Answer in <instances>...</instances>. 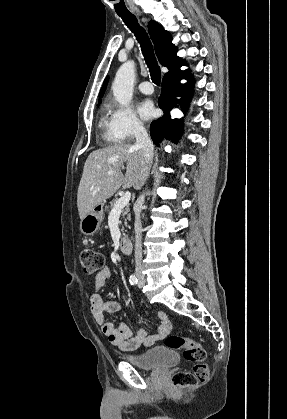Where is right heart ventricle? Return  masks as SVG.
<instances>
[{
  "instance_id": "obj_1",
  "label": "right heart ventricle",
  "mask_w": 287,
  "mask_h": 419,
  "mask_svg": "<svg viewBox=\"0 0 287 419\" xmlns=\"http://www.w3.org/2000/svg\"><path fill=\"white\" fill-rule=\"evenodd\" d=\"M99 125L102 132V137L105 142L109 144H116L120 143V138L115 134L112 126V117L109 114L108 107H104L101 116Z\"/></svg>"
}]
</instances>
